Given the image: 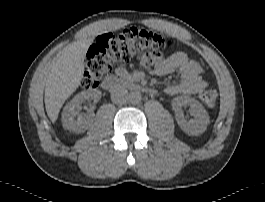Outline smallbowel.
Returning a JSON list of instances; mask_svg holds the SVG:
<instances>
[{"instance_id":"c3829d8e","label":"small bowel","mask_w":265,"mask_h":202,"mask_svg":"<svg viewBox=\"0 0 265 202\" xmlns=\"http://www.w3.org/2000/svg\"><path fill=\"white\" fill-rule=\"evenodd\" d=\"M176 70L180 73V81L167 87L166 94L169 96L195 94L207 85L202 79L203 69L200 64L184 52H176L166 58L157 56L151 72L164 77Z\"/></svg>"}]
</instances>
